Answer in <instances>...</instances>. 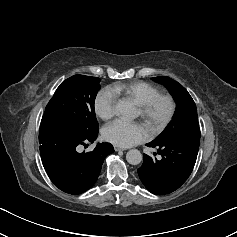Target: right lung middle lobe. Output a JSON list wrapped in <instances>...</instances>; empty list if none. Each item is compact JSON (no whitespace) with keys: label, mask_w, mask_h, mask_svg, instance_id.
Wrapping results in <instances>:
<instances>
[{"label":"right lung middle lobe","mask_w":237,"mask_h":237,"mask_svg":"<svg viewBox=\"0 0 237 237\" xmlns=\"http://www.w3.org/2000/svg\"><path fill=\"white\" fill-rule=\"evenodd\" d=\"M97 77L73 75L55 91L45 108L41 125L64 128L75 135L98 130L94 101L100 89Z\"/></svg>","instance_id":"right-lung-middle-lobe-1"}]
</instances>
